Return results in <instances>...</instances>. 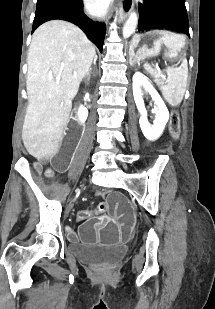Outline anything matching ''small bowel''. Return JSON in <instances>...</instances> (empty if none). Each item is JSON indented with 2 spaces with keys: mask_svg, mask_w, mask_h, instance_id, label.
<instances>
[{
  "mask_svg": "<svg viewBox=\"0 0 215 309\" xmlns=\"http://www.w3.org/2000/svg\"><path fill=\"white\" fill-rule=\"evenodd\" d=\"M89 213H90L89 218H93V217H95V216L97 215L96 211H89ZM70 239H71V240H75L76 237H75L74 235H71V236H70Z\"/></svg>",
  "mask_w": 215,
  "mask_h": 309,
  "instance_id": "small-bowel-1",
  "label": "small bowel"
}]
</instances>
